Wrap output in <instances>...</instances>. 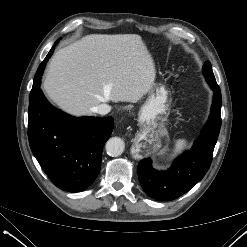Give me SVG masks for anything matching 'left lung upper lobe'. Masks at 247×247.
I'll list each match as a JSON object with an SVG mask.
<instances>
[{
  "label": "left lung upper lobe",
  "mask_w": 247,
  "mask_h": 247,
  "mask_svg": "<svg viewBox=\"0 0 247 247\" xmlns=\"http://www.w3.org/2000/svg\"><path fill=\"white\" fill-rule=\"evenodd\" d=\"M203 74H204V77H205L207 83L210 86L219 87L216 80H215V77H214V74L212 71V67H211V64L209 61L205 62L204 66H203Z\"/></svg>",
  "instance_id": "1"
}]
</instances>
